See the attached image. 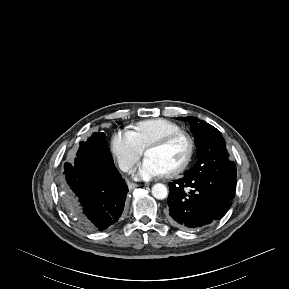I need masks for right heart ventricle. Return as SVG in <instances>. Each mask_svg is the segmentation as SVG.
I'll list each match as a JSON object with an SVG mask.
<instances>
[{
  "mask_svg": "<svg viewBox=\"0 0 289 289\" xmlns=\"http://www.w3.org/2000/svg\"><path fill=\"white\" fill-rule=\"evenodd\" d=\"M132 131L140 146L145 149L152 142L168 134L180 132L181 128L170 120L154 118L136 123Z\"/></svg>",
  "mask_w": 289,
  "mask_h": 289,
  "instance_id": "right-heart-ventricle-1",
  "label": "right heart ventricle"
}]
</instances>
